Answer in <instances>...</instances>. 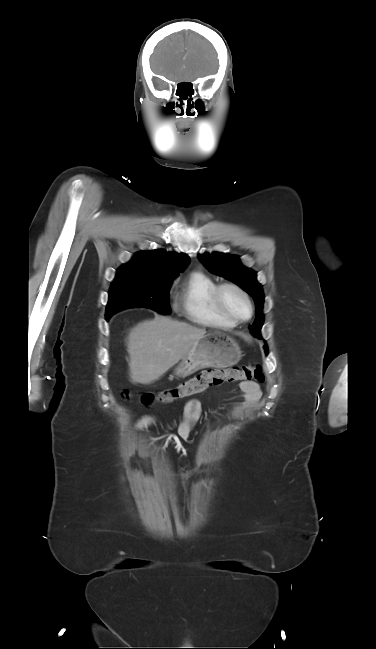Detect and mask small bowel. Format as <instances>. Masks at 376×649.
I'll return each instance as SVG.
<instances>
[{
  "mask_svg": "<svg viewBox=\"0 0 376 649\" xmlns=\"http://www.w3.org/2000/svg\"><path fill=\"white\" fill-rule=\"evenodd\" d=\"M240 391L242 394V408L249 409L255 407L262 397L260 385L254 381L241 382ZM202 413L201 402L197 399H191L184 405L183 417L177 429V436L183 440H188L191 436L193 425L199 420ZM155 423L153 416H144L136 424L137 428L145 429Z\"/></svg>",
  "mask_w": 376,
  "mask_h": 649,
  "instance_id": "1",
  "label": "small bowel"
}]
</instances>
